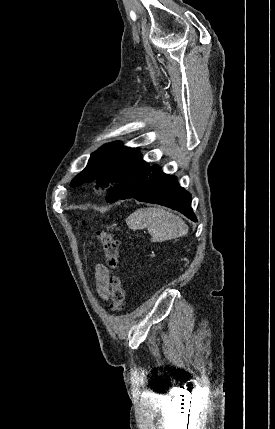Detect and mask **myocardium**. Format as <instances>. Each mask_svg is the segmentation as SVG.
<instances>
[{"mask_svg":"<svg viewBox=\"0 0 275 429\" xmlns=\"http://www.w3.org/2000/svg\"><path fill=\"white\" fill-rule=\"evenodd\" d=\"M109 187H110V183H107V182L98 183L94 187V192L97 195H101L105 193L109 189Z\"/></svg>","mask_w":275,"mask_h":429,"instance_id":"1","label":"myocardium"}]
</instances>
